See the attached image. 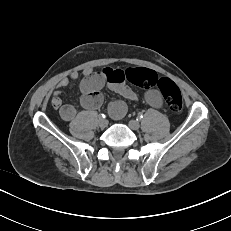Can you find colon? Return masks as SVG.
<instances>
[{
    "label": "colon",
    "mask_w": 231,
    "mask_h": 231,
    "mask_svg": "<svg viewBox=\"0 0 231 231\" xmlns=\"http://www.w3.org/2000/svg\"><path fill=\"white\" fill-rule=\"evenodd\" d=\"M125 78L133 85L149 89L158 87L167 107L173 112H180L183 108V99L179 88L167 78H160L155 72L144 68H134L125 71Z\"/></svg>",
    "instance_id": "1"
}]
</instances>
